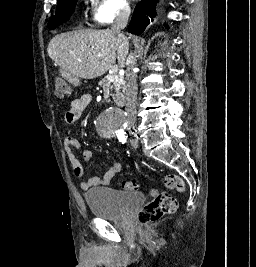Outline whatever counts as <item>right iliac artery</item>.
<instances>
[{
	"label": "right iliac artery",
	"instance_id": "obj_1",
	"mask_svg": "<svg viewBox=\"0 0 256 267\" xmlns=\"http://www.w3.org/2000/svg\"><path fill=\"white\" fill-rule=\"evenodd\" d=\"M118 139H119V141H120L121 143H125L126 140H127V137H126V136H122V137H119Z\"/></svg>",
	"mask_w": 256,
	"mask_h": 267
}]
</instances>
